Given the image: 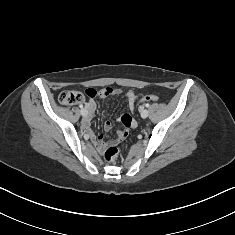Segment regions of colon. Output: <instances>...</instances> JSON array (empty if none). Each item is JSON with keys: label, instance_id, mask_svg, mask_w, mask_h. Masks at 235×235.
<instances>
[{"label": "colon", "instance_id": "colon-1", "mask_svg": "<svg viewBox=\"0 0 235 235\" xmlns=\"http://www.w3.org/2000/svg\"><path fill=\"white\" fill-rule=\"evenodd\" d=\"M110 93V88H105L98 90L96 88H88L85 90V92L81 91H76V90H69V91H64L59 95V102L62 105H74L79 102H81L85 96L89 98H94L98 95L103 96ZM159 100V97L155 94H148L145 96H142L139 99V102H156ZM120 121L124 127L123 131H121L118 135V137L114 140H111L104 148L103 150V155L104 159L108 163L114 162L120 155V151L117 147V142L123 140L127 134L128 130L133 126L134 121L132 117L129 114H124L121 116Z\"/></svg>", "mask_w": 235, "mask_h": 235}]
</instances>
